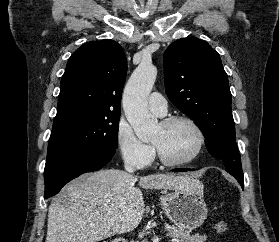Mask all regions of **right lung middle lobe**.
Returning <instances> with one entry per match:
<instances>
[{
    "label": "right lung middle lobe",
    "instance_id": "dd1d6c3e",
    "mask_svg": "<svg viewBox=\"0 0 279 242\" xmlns=\"http://www.w3.org/2000/svg\"><path fill=\"white\" fill-rule=\"evenodd\" d=\"M119 113L72 110L56 115L50 136L45 168L73 155L118 147Z\"/></svg>",
    "mask_w": 279,
    "mask_h": 242
}]
</instances>
